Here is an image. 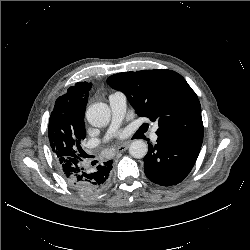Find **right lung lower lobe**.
<instances>
[{"label": "right lung lower lobe", "instance_id": "1", "mask_svg": "<svg viewBox=\"0 0 250 250\" xmlns=\"http://www.w3.org/2000/svg\"><path fill=\"white\" fill-rule=\"evenodd\" d=\"M82 159L71 158L57 160L60 174L69 185L84 195L100 192L109 181L112 160L104 162L93 169L84 168Z\"/></svg>", "mask_w": 250, "mask_h": 250}]
</instances>
